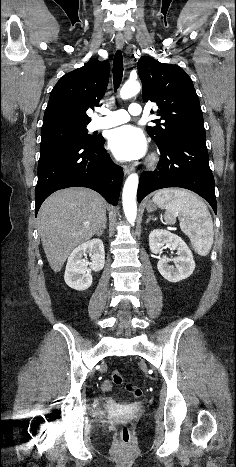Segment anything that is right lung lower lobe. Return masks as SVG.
Instances as JSON below:
<instances>
[{
  "label": "right lung lower lobe",
  "mask_w": 236,
  "mask_h": 467,
  "mask_svg": "<svg viewBox=\"0 0 236 467\" xmlns=\"http://www.w3.org/2000/svg\"><path fill=\"white\" fill-rule=\"evenodd\" d=\"M104 138L93 143L64 140L40 146L35 214L53 192L68 187H88L117 205L123 170L104 149Z\"/></svg>",
  "instance_id": "1"
}]
</instances>
